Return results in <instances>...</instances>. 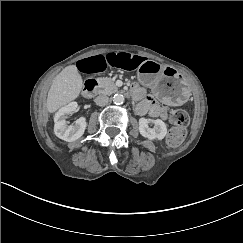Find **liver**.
Here are the masks:
<instances>
[{
    "mask_svg": "<svg viewBox=\"0 0 243 243\" xmlns=\"http://www.w3.org/2000/svg\"><path fill=\"white\" fill-rule=\"evenodd\" d=\"M83 78L75 64L68 65L57 74L49 88L46 110L54 114L62 107L76 100L83 89Z\"/></svg>",
    "mask_w": 243,
    "mask_h": 243,
    "instance_id": "obj_1",
    "label": "liver"
}]
</instances>
